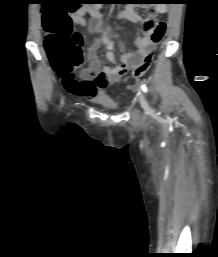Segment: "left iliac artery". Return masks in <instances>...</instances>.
I'll use <instances>...</instances> for the list:
<instances>
[{"instance_id":"1","label":"left iliac artery","mask_w":218,"mask_h":257,"mask_svg":"<svg viewBox=\"0 0 218 257\" xmlns=\"http://www.w3.org/2000/svg\"><path fill=\"white\" fill-rule=\"evenodd\" d=\"M142 90L146 93L148 91V88L145 84L141 86Z\"/></svg>"}]
</instances>
